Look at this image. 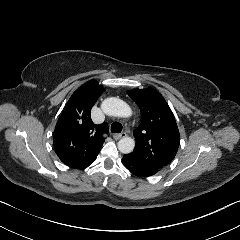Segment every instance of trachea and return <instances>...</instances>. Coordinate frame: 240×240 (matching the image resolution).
<instances>
[{
	"label": "trachea",
	"instance_id": "trachea-1",
	"mask_svg": "<svg viewBox=\"0 0 240 240\" xmlns=\"http://www.w3.org/2000/svg\"><path fill=\"white\" fill-rule=\"evenodd\" d=\"M122 128H123V126H122V124L120 122H113L112 125H111L110 130L113 133H121Z\"/></svg>",
	"mask_w": 240,
	"mask_h": 240
}]
</instances>
